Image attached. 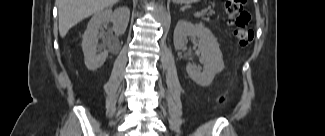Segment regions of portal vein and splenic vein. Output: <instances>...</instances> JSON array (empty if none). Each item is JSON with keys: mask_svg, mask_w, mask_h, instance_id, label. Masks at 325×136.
Masks as SVG:
<instances>
[{"mask_svg": "<svg viewBox=\"0 0 325 136\" xmlns=\"http://www.w3.org/2000/svg\"><path fill=\"white\" fill-rule=\"evenodd\" d=\"M203 14V12H197L195 13L196 16H201Z\"/></svg>", "mask_w": 325, "mask_h": 136, "instance_id": "portal-vein-and-splenic-vein-1", "label": "portal vein and splenic vein"}]
</instances>
